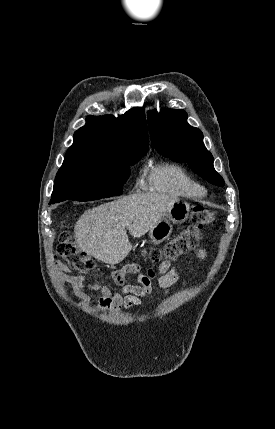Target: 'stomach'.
Returning a JSON list of instances; mask_svg holds the SVG:
<instances>
[{"mask_svg":"<svg viewBox=\"0 0 275 429\" xmlns=\"http://www.w3.org/2000/svg\"><path fill=\"white\" fill-rule=\"evenodd\" d=\"M190 206L187 202L176 201L172 207L150 229L149 236L154 244H159L167 239L171 233L172 224H181L188 218Z\"/></svg>","mask_w":275,"mask_h":429,"instance_id":"1","label":"stomach"}]
</instances>
